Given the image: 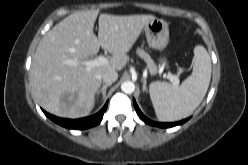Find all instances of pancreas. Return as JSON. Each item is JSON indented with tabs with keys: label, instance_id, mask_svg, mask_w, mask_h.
<instances>
[{
	"label": "pancreas",
	"instance_id": "obj_1",
	"mask_svg": "<svg viewBox=\"0 0 248 165\" xmlns=\"http://www.w3.org/2000/svg\"><path fill=\"white\" fill-rule=\"evenodd\" d=\"M136 53L147 62L150 73L156 74L158 71V68L156 64L154 63V61L152 60V58L150 57V55L141 48H138L136 50Z\"/></svg>",
	"mask_w": 248,
	"mask_h": 165
}]
</instances>
